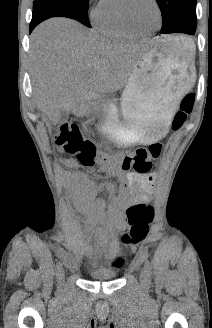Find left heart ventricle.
Segmentation results:
<instances>
[{
	"mask_svg": "<svg viewBox=\"0 0 212 328\" xmlns=\"http://www.w3.org/2000/svg\"><path fill=\"white\" fill-rule=\"evenodd\" d=\"M132 23L141 30H151L158 25V13L151 0H130L127 5Z\"/></svg>",
	"mask_w": 212,
	"mask_h": 328,
	"instance_id": "1",
	"label": "left heart ventricle"
}]
</instances>
